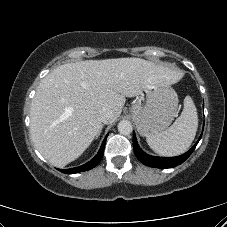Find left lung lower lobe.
Listing matches in <instances>:
<instances>
[{
    "mask_svg": "<svg viewBox=\"0 0 227 227\" xmlns=\"http://www.w3.org/2000/svg\"><path fill=\"white\" fill-rule=\"evenodd\" d=\"M202 136V135H201ZM201 136L199 140L201 139ZM197 141V143L199 142ZM197 143L186 153L177 157H155L145 153L138 145L135 133L133 135V149L137 158L146 166L154 168H172L183 163L194 151Z\"/></svg>",
    "mask_w": 227,
    "mask_h": 227,
    "instance_id": "obj_1",
    "label": "left lung lower lobe"
}]
</instances>
